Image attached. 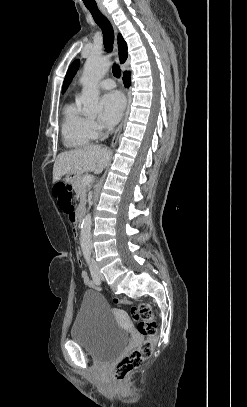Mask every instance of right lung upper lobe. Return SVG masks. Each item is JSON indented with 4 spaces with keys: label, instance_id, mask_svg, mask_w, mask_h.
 I'll list each match as a JSON object with an SVG mask.
<instances>
[{
    "label": "right lung upper lobe",
    "instance_id": "1",
    "mask_svg": "<svg viewBox=\"0 0 247 407\" xmlns=\"http://www.w3.org/2000/svg\"><path fill=\"white\" fill-rule=\"evenodd\" d=\"M118 49L120 55V62L124 63L127 59V44L120 34L118 35Z\"/></svg>",
    "mask_w": 247,
    "mask_h": 407
}]
</instances>
